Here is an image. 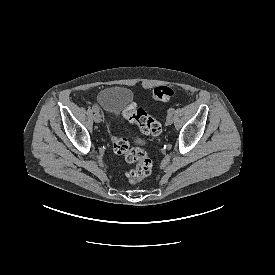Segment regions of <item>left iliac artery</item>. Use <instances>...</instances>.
Instances as JSON below:
<instances>
[{
    "label": "left iliac artery",
    "mask_w": 275,
    "mask_h": 275,
    "mask_svg": "<svg viewBox=\"0 0 275 275\" xmlns=\"http://www.w3.org/2000/svg\"><path fill=\"white\" fill-rule=\"evenodd\" d=\"M167 112H168L169 115L173 114L174 113V108H169Z\"/></svg>",
    "instance_id": "44dca946"
}]
</instances>
